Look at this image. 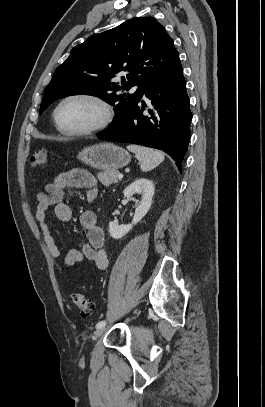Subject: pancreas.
<instances>
[{"label": "pancreas", "mask_w": 265, "mask_h": 407, "mask_svg": "<svg viewBox=\"0 0 265 407\" xmlns=\"http://www.w3.org/2000/svg\"><path fill=\"white\" fill-rule=\"evenodd\" d=\"M118 171L111 170L100 172L97 174L98 180L104 185L109 186L113 183H118Z\"/></svg>", "instance_id": "obj_1"}]
</instances>
